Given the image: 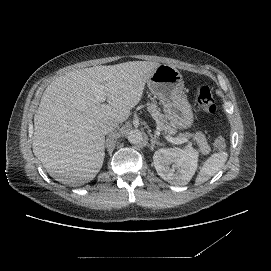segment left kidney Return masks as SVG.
<instances>
[{
  "instance_id": "obj_1",
  "label": "left kidney",
  "mask_w": 271,
  "mask_h": 271,
  "mask_svg": "<svg viewBox=\"0 0 271 271\" xmlns=\"http://www.w3.org/2000/svg\"><path fill=\"white\" fill-rule=\"evenodd\" d=\"M198 156L195 149L162 148L154 153L153 162L162 179L174 185H186L197 169Z\"/></svg>"
}]
</instances>
